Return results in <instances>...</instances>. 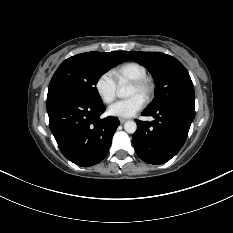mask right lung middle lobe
I'll list each match as a JSON object with an SVG mask.
<instances>
[{
  "instance_id": "1",
  "label": "right lung middle lobe",
  "mask_w": 233,
  "mask_h": 233,
  "mask_svg": "<svg viewBox=\"0 0 233 233\" xmlns=\"http://www.w3.org/2000/svg\"><path fill=\"white\" fill-rule=\"evenodd\" d=\"M122 61H126L122 51L88 52L66 59L50 81L47 99L66 97L103 105L95 85L102 74Z\"/></svg>"
}]
</instances>
